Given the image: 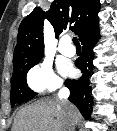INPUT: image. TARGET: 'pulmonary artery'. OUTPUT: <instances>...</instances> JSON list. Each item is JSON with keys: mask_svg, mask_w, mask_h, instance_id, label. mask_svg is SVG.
I'll return each instance as SVG.
<instances>
[{"mask_svg": "<svg viewBox=\"0 0 117 131\" xmlns=\"http://www.w3.org/2000/svg\"><path fill=\"white\" fill-rule=\"evenodd\" d=\"M58 50L65 56L71 57L75 55V48L71 45V40L69 37H64L60 40Z\"/></svg>", "mask_w": 117, "mask_h": 131, "instance_id": "obj_1", "label": "pulmonary artery"}]
</instances>
